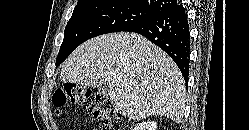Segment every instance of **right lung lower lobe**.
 Returning <instances> with one entry per match:
<instances>
[{
    "instance_id": "98d812e1",
    "label": "right lung lower lobe",
    "mask_w": 249,
    "mask_h": 130,
    "mask_svg": "<svg viewBox=\"0 0 249 130\" xmlns=\"http://www.w3.org/2000/svg\"><path fill=\"white\" fill-rule=\"evenodd\" d=\"M125 31L141 34L164 50L175 61L187 83L190 32L182 5L175 4L152 19L131 26Z\"/></svg>"
}]
</instances>
